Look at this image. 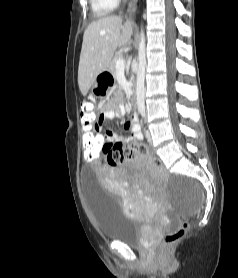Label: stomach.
<instances>
[{
  "mask_svg": "<svg viewBox=\"0 0 238 278\" xmlns=\"http://www.w3.org/2000/svg\"><path fill=\"white\" fill-rule=\"evenodd\" d=\"M100 73L95 74V81L90 84L92 99H107L109 86L114 85V74H110V69H101Z\"/></svg>",
  "mask_w": 238,
  "mask_h": 278,
  "instance_id": "0dacf381",
  "label": "stomach"
}]
</instances>
